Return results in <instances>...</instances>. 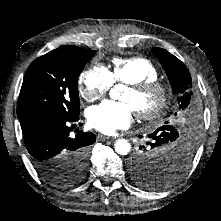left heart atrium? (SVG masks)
Returning <instances> with one entry per match:
<instances>
[{"label":"left heart atrium","instance_id":"left-heart-atrium-1","mask_svg":"<svg viewBox=\"0 0 221 221\" xmlns=\"http://www.w3.org/2000/svg\"><path fill=\"white\" fill-rule=\"evenodd\" d=\"M133 112L132 106L126 102L105 100L87 110V121L98 131L113 134L130 126Z\"/></svg>","mask_w":221,"mask_h":221}]
</instances>
